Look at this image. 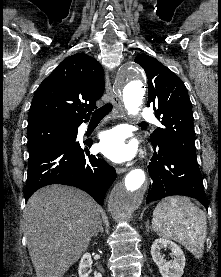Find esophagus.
<instances>
[{
	"label": "esophagus",
	"mask_w": 221,
	"mask_h": 277,
	"mask_svg": "<svg viewBox=\"0 0 221 277\" xmlns=\"http://www.w3.org/2000/svg\"><path fill=\"white\" fill-rule=\"evenodd\" d=\"M105 87H106V93H107V95L109 97V100L113 104L112 114L114 116H120V115H122L123 114L122 101H121V98L114 92V90L112 88L108 72H106V75H105ZM116 171H117L118 174H121V173L126 172L127 168L118 167L116 169Z\"/></svg>",
	"instance_id": "1"
}]
</instances>
